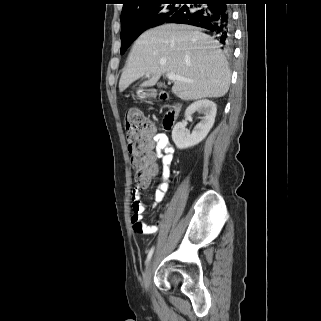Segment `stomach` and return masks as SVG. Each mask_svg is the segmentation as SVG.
Returning <instances> with one entry per match:
<instances>
[{"label": "stomach", "mask_w": 321, "mask_h": 321, "mask_svg": "<svg viewBox=\"0 0 321 321\" xmlns=\"http://www.w3.org/2000/svg\"><path fill=\"white\" fill-rule=\"evenodd\" d=\"M137 95L141 98L145 97L146 96V93L143 92V91H138Z\"/></svg>", "instance_id": "1"}]
</instances>
